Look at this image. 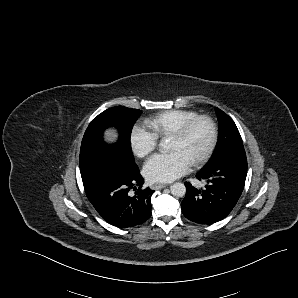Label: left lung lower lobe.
Segmentation results:
<instances>
[{
    "label": "left lung lower lobe",
    "instance_id": "0a47b994",
    "mask_svg": "<svg viewBox=\"0 0 298 298\" xmlns=\"http://www.w3.org/2000/svg\"><path fill=\"white\" fill-rule=\"evenodd\" d=\"M247 175L245 151L232 153L207 165L198 174L206 180L204 190L185 182L186 195L181 203L183 215L199 224H212L225 218L236 205Z\"/></svg>",
    "mask_w": 298,
    "mask_h": 298
}]
</instances>
